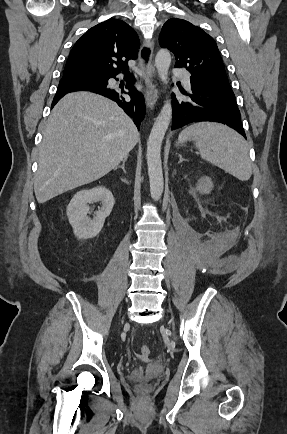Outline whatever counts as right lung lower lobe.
<instances>
[{"label": "right lung lower lobe", "instance_id": "right-lung-lower-lobe-1", "mask_svg": "<svg viewBox=\"0 0 287 434\" xmlns=\"http://www.w3.org/2000/svg\"><path fill=\"white\" fill-rule=\"evenodd\" d=\"M115 76L108 77V79H116ZM108 79L103 83L60 82L57 93L53 99L52 106H54L65 94L69 92L78 90L91 91L115 101L129 116L133 117L134 123L136 124L137 128H139L142 120L145 117V102L143 95L134 87L135 80L133 79L132 74H125V79L127 80L126 88L128 89V92L109 88ZM122 94H128L130 99L125 98Z\"/></svg>", "mask_w": 287, "mask_h": 434}]
</instances>
